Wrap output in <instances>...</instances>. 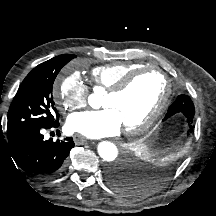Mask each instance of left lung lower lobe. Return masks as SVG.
I'll return each instance as SVG.
<instances>
[{
    "mask_svg": "<svg viewBox=\"0 0 216 216\" xmlns=\"http://www.w3.org/2000/svg\"><path fill=\"white\" fill-rule=\"evenodd\" d=\"M107 178L116 189L126 194L132 191L133 184L135 183L133 176L127 170L120 169L118 166L108 169Z\"/></svg>",
    "mask_w": 216,
    "mask_h": 216,
    "instance_id": "0a47b994",
    "label": "left lung lower lobe"
}]
</instances>
